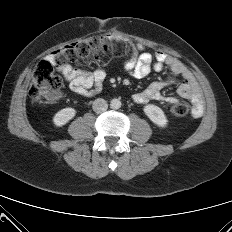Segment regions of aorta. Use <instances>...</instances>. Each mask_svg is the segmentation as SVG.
I'll use <instances>...</instances> for the list:
<instances>
[{
  "label": "aorta",
  "mask_w": 232,
  "mask_h": 232,
  "mask_svg": "<svg viewBox=\"0 0 232 232\" xmlns=\"http://www.w3.org/2000/svg\"><path fill=\"white\" fill-rule=\"evenodd\" d=\"M110 107L112 109H119L121 107V101L117 98H114L110 102Z\"/></svg>",
  "instance_id": "762f6f07"
}]
</instances>
